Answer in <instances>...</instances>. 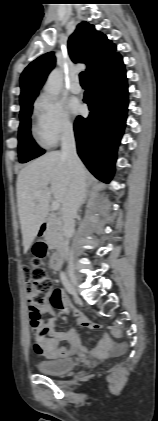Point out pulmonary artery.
Masks as SVG:
<instances>
[{
    "label": "pulmonary artery",
    "mask_w": 158,
    "mask_h": 421,
    "mask_svg": "<svg viewBox=\"0 0 158 421\" xmlns=\"http://www.w3.org/2000/svg\"><path fill=\"white\" fill-rule=\"evenodd\" d=\"M70 91H71L72 93H74V94H78V93H80V92L82 91V87H81V85H80V83H79L78 78H75V79L72 81V83H71V85H70Z\"/></svg>",
    "instance_id": "e3ab8cb5"
}]
</instances>
